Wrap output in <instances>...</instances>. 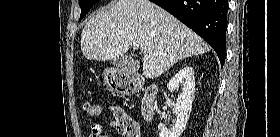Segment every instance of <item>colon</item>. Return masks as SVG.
Listing matches in <instances>:
<instances>
[{
    "label": "colon",
    "instance_id": "5ec220e1",
    "mask_svg": "<svg viewBox=\"0 0 280 137\" xmlns=\"http://www.w3.org/2000/svg\"><path fill=\"white\" fill-rule=\"evenodd\" d=\"M83 109L91 117H98L101 114V106L96 101H86L83 105ZM127 125L132 136L139 133L137 124L131 118L127 119Z\"/></svg>",
    "mask_w": 280,
    "mask_h": 137
}]
</instances>
